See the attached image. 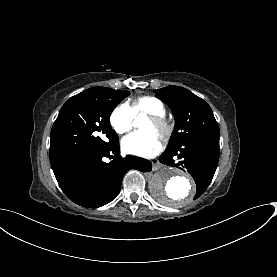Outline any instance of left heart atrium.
Here are the masks:
<instances>
[{"label": "left heart atrium", "instance_id": "left-heart-atrium-1", "mask_svg": "<svg viewBox=\"0 0 277 277\" xmlns=\"http://www.w3.org/2000/svg\"><path fill=\"white\" fill-rule=\"evenodd\" d=\"M124 151L144 157L155 155L162 147V141L154 132L131 133L121 141Z\"/></svg>", "mask_w": 277, "mask_h": 277}]
</instances>
